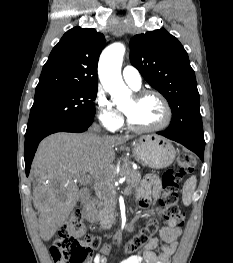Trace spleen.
Masks as SVG:
<instances>
[{
	"label": "spleen",
	"mask_w": 233,
	"mask_h": 263,
	"mask_svg": "<svg viewBox=\"0 0 233 263\" xmlns=\"http://www.w3.org/2000/svg\"><path fill=\"white\" fill-rule=\"evenodd\" d=\"M196 176H191L183 186L182 201L185 206H189L192 201L193 193L196 189Z\"/></svg>",
	"instance_id": "1"
}]
</instances>
